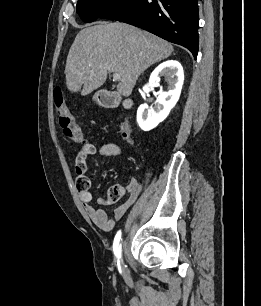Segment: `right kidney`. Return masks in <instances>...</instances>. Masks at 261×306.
Returning a JSON list of instances; mask_svg holds the SVG:
<instances>
[{"label":"right kidney","mask_w":261,"mask_h":306,"mask_svg":"<svg viewBox=\"0 0 261 306\" xmlns=\"http://www.w3.org/2000/svg\"><path fill=\"white\" fill-rule=\"evenodd\" d=\"M160 76H165L169 81V88L167 92L161 93L157 98L156 109H149L146 105H140L137 110V122L144 131L155 128L165 120L181 94L184 72L178 61L168 60L156 67L150 75L148 86L143 87L144 92H148L149 87L159 86Z\"/></svg>","instance_id":"ca27d5eb"}]
</instances>
